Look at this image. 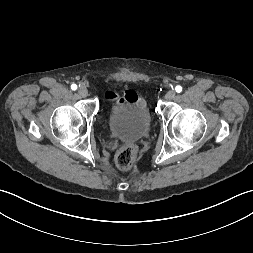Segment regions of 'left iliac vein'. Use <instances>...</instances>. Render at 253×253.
Wrapping results in <instances>:
<instances>
[{
    "label": "left iliac vein",
    "instance_id": "obj_1",
    "mask_svg": "<svg viewBox=\"0 0 253 253\" xmlns=\"http://www.w3.org/2000/svg\"><path fill=\"white\" fill-rule=\"evenodd\" d=\"M175 91L174 90H169L166 95H165V98L167 100H172L174 97H175Z\"/></svg>",
    "mask_w": 253,
    "mask_h": 253
}]
</instances>
